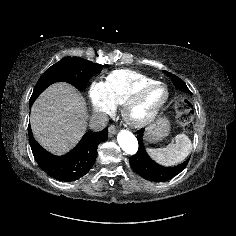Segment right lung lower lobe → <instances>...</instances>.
Here are the masks:
<instances>
[{"mask_svg": "<svg viewBox=\"0 0 236 236\" xmlns=\"http://www.w3.org/2000/svg\"><path fill=\"white\" fill-rule=\"evenodd\" d=\"M28 132L32 153L40 168L52 178L64 182L75 181L84 176L96 160L98 145L108 139L107 129L87 133L69 153L55 156L35 141L30 126Z\"/></svg>", "mask_w": 236, "mask_h": 236, "instance_id": "1", "label": "right lung lower lobe"}]
</instances>
